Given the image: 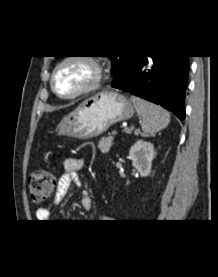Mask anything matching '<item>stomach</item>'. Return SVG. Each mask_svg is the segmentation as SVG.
<instances>
[{
	"label": "stomach",
	"mask_w": 218,
	"mask_h": 277,
	"mask_svg": "<svg viewBox=\"0 0 218 277\" xmlns=\"http://www.w3.org/2000/svg\"><path fill=\"white\" fill-rule=\"evenodd\" d=\"M134 107L129 99L115 91H102L84 100L58 125V134L91 139L106 132L113 124L130 119Z\"/></svg>",
	"instance_id": "obj_1"
}]
</instances>
